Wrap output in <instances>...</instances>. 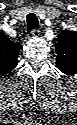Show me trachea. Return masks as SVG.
I'll return each instance as SVG.
<instances>
[{"instance_id":"1","label":"trachea","mask_w":77,"mask_h":125,"mask_svg":"<svg viewBox=\"0 0 77 125\" xmlns=\"http://www.w3.org/2000/svg\"><path fill=\"white\" fill-rule=\"evenodd\" d=\"M27 20V33H30L34 29H38L39 23L37 16L34 13H29L26 17Z\"/></svg>"}]
</instances>
